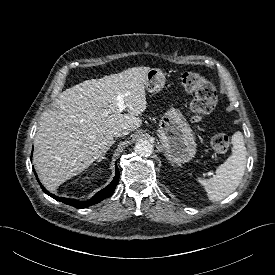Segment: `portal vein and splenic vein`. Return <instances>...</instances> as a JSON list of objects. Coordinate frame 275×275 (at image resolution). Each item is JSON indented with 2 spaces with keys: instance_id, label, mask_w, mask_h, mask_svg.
Listing matches in <instances>:
<instances>
[{
  "instance_id": "18ae733b",
  "label": "portal vein and splenic vein",
  "mask_w": 275,
  "mask_h": 275,
  "mask_svg": "<svg viewBox=\"0 0 275 275\" xmlns=\"http://www.w3.org/2000/svg\"><path fill=\"white\" fill-rule=\"evenodd\" d=\"M123 97H124L123 95H118L116 98L118 109L120 112H122L126 108V105L124 104Z\"/></svg>"
}]
</instances>
